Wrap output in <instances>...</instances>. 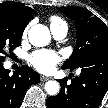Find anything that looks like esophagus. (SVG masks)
Listing matches in <instances>:
<instances>
[{
    "instance_id": "obj_1",
    "label": "esophagus",
    "mask_w": 108,
    "mask_h": 108,
    "mask_svg": "<svg viewBox=\"0 0 108 108\" xmlns=\"http://www.w3.org/2000/svg\"><path fill=\"white\" fill-rule=\"evenodd\" d=\"M50 78L49 77H47V76H41L40 77V80L41 81H48Z\"/></svg>"
}]
</instances>
